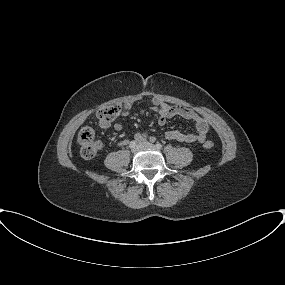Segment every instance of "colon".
Returning <instances> with one entry per match:
<instances>
[{"instance_id": "colon-1", "label": "colon", "mask_w": 285, "mask_h": 285, "mask_svg": "<svg viewBox=\"0 0 285 285\" xmlns=\"http://www.w3.org/2000/svg\"><path fill=\"white\" fill-rule=\"evenodd\" d=\"M121 108L117 105H111L98 111L97 116L100 121L109 123L119 116ZM78 143L80 145V153L83 158L91 159L97 155L101 149V143L95 138L93 129L89 127L82 128L78 133ZM214 146L212 141H206L204 147L212 149Z\"/></svg>"}]
</instances>
